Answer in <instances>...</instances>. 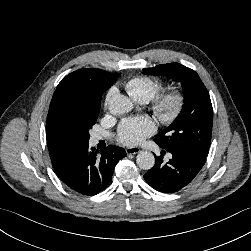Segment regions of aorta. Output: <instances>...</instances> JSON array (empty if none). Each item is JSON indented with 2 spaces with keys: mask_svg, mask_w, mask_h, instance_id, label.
<instances>
[{
  "mask_svg": "<svg viewBox=\"0 0 251 251\" xmlns=\"http://www.w3.org/2000/svg\"><path fill=\"white\" fill-rule=\"evenodd\" d=\"M109 110L114 114H125L132 110V101L124 95H114L108 103ZM137 165L143 170H150L155 164L154 155L149 151H142L137 155Z\"/></svg>",
  "mask_w": 251,
  "mask_h": 251,
  "instance_id": "aorta-1",
  "label": "aorta"
}]
</instances>
